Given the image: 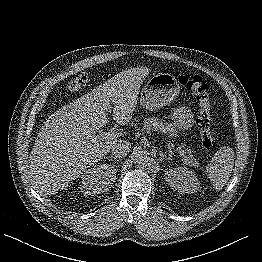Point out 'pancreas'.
<instances>
[{"label": "pancreas", "mask_w": 262, "mask_h": 262, "mask_svg": "<svg viewBox=\"0 0 262 262\" xmlns=\"http://www.w3.org/2000/svg\"><path fill=\"white\" fill-rule=\"evenodd\" d=\"M144 130L147 132H151V131H157V132H162V133H169V134H175L177 132L176 128L168 123L165 120L159 119L157 117H149L147 119H145L144 123ZM188 159H190L189 163L187 162V164H191L192 166L197 165V162L195 161V159L193 158L192 155H190V157H188Z\"/></svg>", "instance_id": "cf45deb5"}]
</instances>
